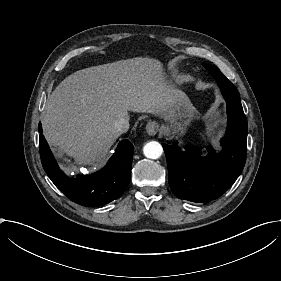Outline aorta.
Masks as SVG:
<instances>
[{"label": "aorta", "mask_w": 281, "mask_h": 281, "mask_svg": "<svg viewBox=\"0 0 281 281\" xmlns=\"http://www.w3.org/2000/svg\"><path fill=\"white\" fill-rule=\"evenodd\" d=\"M143 152L147 158L158 159L163 153V148L159 142L150 141L144 146Z\"/></svg>", "instance_id": "762f6f07"}]
</instances>
